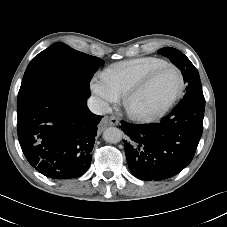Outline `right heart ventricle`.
<instances>
[{
    "label": "right heart ventricle",
    "mask_w": 227,
    "mask_h": 227,
    "mask_svg": "<svg viewBox=\"0 0 227 227\" xmlns=\"http://www.w3.org/2000/svg\"><path fill=\"white\" fill-rule=\"evenodd\" d=\"M168 62L157 57H143L117 63L109 67L105 76L119 96L125 95L146 75Z\"/></svg>",
    "instance_id": "right-heart-ventricle-1"
}]
</instances>
